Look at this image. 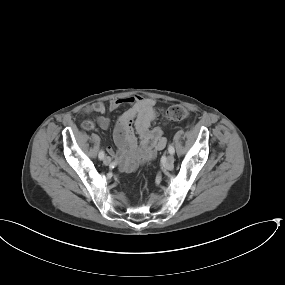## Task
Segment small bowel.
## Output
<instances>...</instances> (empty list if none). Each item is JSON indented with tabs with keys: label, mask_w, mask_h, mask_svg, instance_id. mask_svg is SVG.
Segmentation results:
<instances>
[{
	"label": "small bowel",
	"mask_w": 285,
	"mask_h": 285,
	"mask_svg": "<svg viewBox=\"0 0 285 285\" xmlns=\"http://www.w3.org/2000/svg\"><path fill=\"white\" fill-rule=\"evenodd\" d=\"M124 105L128 108L120 116L115 128L114 140L118 147L117 160L120 169L124 172H133L141 164L153 161L156 153L166 146L162 128H151V123L157 113L156 102L151 98L134 95L126 99L110 101L108 104L93 103L86 106L84 112L101 114L97 118V124L107 129L112 121L104 114L115 112ZM82 126L86 130H91L94 122L88 119L83 122ZM108 150L114 153L112 147Z\"/></svg>",
	"instance_id": "1"
}]
</instances>
